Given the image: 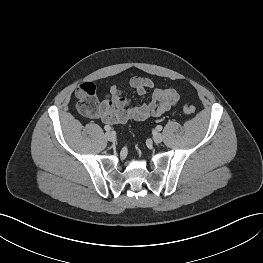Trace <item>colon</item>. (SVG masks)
<instances>
[{"label": "colon", "mask_w": 263, "mask_h": 263, "mask_svg": "<svg viewBox=\"0 0 263 263\" xmlns=\"http://www.w3.org/2000/svg\"><path fill=\"white\" fill-rule=\"evenodd\" d=\"M76 96L78 100L77 107L82 113L89 115L95 111L98 101L96 86L93 83L85 82L79 85ZM183 109L187 114H193L195 112V107L191 104H185Z\"/></svg>", "instance_id": "colon-1"}]
</instances>
